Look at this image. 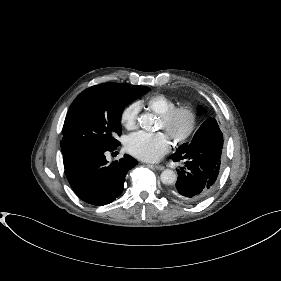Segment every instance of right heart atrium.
I'll use <instances>...</instances> for the list:
<instances>
[{
    "label": "right heart atrium",
    "mask_w": 281,
    "mask_h": 281,
    "mask_svg": "<svg viewBox=\"0 0 281 281\" xmlns=\"http://www.w3.org/2000/svg\"><path fill=\"white\" fill-rule=\"evenodd\" d=\"M140 104L132 102L128 104L121 112L120 121L127 129H133L137 125Z\"/></svg>",
    "instance_id": "obj_1"
}]
</instances>
